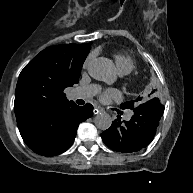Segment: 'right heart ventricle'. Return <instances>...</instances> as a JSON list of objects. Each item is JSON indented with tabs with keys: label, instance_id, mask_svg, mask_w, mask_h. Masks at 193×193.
I'll return each mask as SVG.
<instances>
[{
	"label": "right heart ventricle",
	"instance_id": "right-heart-ventricle-1",
	"mask_svg": "<svg viewBox=\"0 0 193 193\" xmlns=\"http://www.w3.org/2000/svg\"><path fill=\"white\" fill-rule=\"evenodd\" d=\"M115 67L122 76L129 74L135 68V62L132 57L126 54H116L114 56Z\"/></svg>",
	"mask_w": 193,
	"mask_h": 193
}]
</instances>
